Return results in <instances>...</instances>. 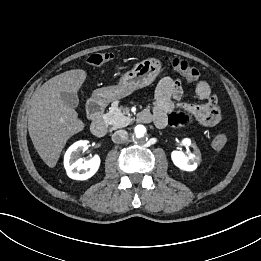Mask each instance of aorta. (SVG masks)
Masks as SVG:
<instances>
[{
    "label": "aorta",
    "instance_id": "aorta-1",
    "mask_svg": "<svg viewBox=\"0 0 261 261\" xmlns=\"http://www.w3.org/2000/svg\"><path fill=\"white\" fill-rule=\"evenodd\" d=\"M147 131L143 125H137L134 128L133 135L136 140H143L146 137Z\"/></svg>",
    "mask_w": 261,
    "mask_h": 261
}]
</instances>
